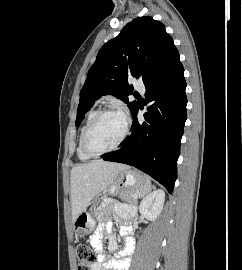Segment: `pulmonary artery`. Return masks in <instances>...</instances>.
I'll use <instances>...</instances> for the list:
<instances>
[{"instance_id":"obj_1","label":"pulmonary artery","mask_w":242,"mask_h":270,"mask_svg":"<svg viewBox=\"0 0 242 270\" xmlns=\"http://www.w3.org/2000/svg\"><path fill=\"white\" fill-rule=\"evenodd\" d=\"M134 88L142 93L145 91V85L142 81H137L134 85Z\"/></svg>"}]
</instances>
